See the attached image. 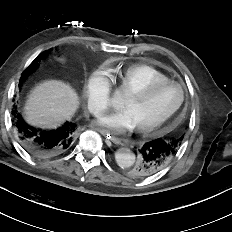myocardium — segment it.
<instances>
[{"mask_svg": "<svg viewBox=\"0 0 232 232\" xmlns=\"http://www.w3.org/2000/svg\"><path fill=\"white\" fill-rule=\"evenodd\" d=\"M166 86H176L180 89L181 97H180L179 102L169 113H167L163 118H161L157 122L152 123L150 125L137 127V131L139 133L146 134V135L151 134L155 132L156 130L160 129L161 127H163L165 124H167L182 107L185 101L186 91H185V88L179 82L174 81V80H166V81L151 83L141 89H138L136 91H133L127 94L126 97L134 98L138 100H144L148 98L152 93L157 91L158 89H161Z\"/></svg>", "mask_w": 232, "mask_h": 232, "instance_id": "1", "label": "myocardium"}]
</instances>
